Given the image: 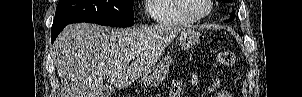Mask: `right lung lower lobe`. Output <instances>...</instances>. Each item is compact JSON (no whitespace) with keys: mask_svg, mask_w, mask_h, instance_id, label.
Instances as JSON below:
<instances>
[{"mask_svg":"<svg viewBox=\"0 0 302 97\" xmlns=\"http://www.w3.org/2000/svg\"><path fill=\"white\" fill-rule=\"evenodd\" d=\"M64 27L65 26L51 30V41H52V43L54 42V40L56 39L58 34L63 30Z\"/></svg>","mask_w":302,"mask_h":97,"instance_id":"98d812e1","label":"right lung lower lobe"}]
</instances>
